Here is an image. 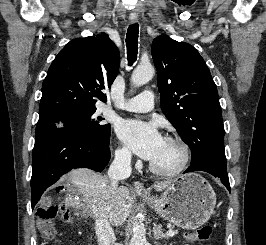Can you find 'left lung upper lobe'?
Instances as JSON below:
<instances>
[{
	"label": "left lung upper lobe",
	"instance_id": "5c2ea615",
	"mask_svg": "<svg viewBox=\"0 0 266 245\" xmlns=\"http://www.w3.org/2000/svg\"><path fill=\"white\" fill-rule=\"evenodd\" d=\"M161 109L192 152L191 166L226 168L224 126L216 85L190 44L159 36L152 43Z\"/></svg>",
	"mask_w": 266,
	"mask_h": 245
}]
</instances>
